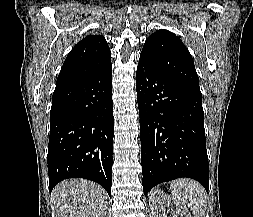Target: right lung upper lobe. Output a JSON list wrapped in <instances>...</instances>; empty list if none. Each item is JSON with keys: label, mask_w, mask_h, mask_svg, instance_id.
I'll return each mask as SVG.
<instances>
[{"label": "right lung upper lobe", "mask_w": 253, "mask_h": 217, "mask_svg": "<svg viewBox=\"0 0 253 217\" xmlns=\"http://www.w3.org/2000/svg\"><path fill=\"white\" fill-rule=\"evenodd\" d=\"M110 65V49L105 38L88 35L68 54L57 78L56 88L87 79Z\"/></svg>", "instance_id": "1"}]
</instances>
